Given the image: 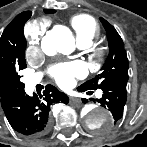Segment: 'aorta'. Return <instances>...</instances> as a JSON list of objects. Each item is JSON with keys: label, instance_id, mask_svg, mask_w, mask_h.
Here are the masks:
<instances>
[{"label": "aorta", "instance_id": "1", "mask_svg": "<svg viewBox=\"0 0 147 147\" xmlns=\"http://www.w3.org/2000/svg\"><path fill=\"white\" fill-rule=\"evenodd\" d=\"M41 48L48 56H54L58 52L70 54L75 49L74 38L67 28L57 27L43 37ZM81 115L86 125L93 130H105L113 123L111 113L103 107L85 105Z\"/></svg>", "mask_w": 147, "mask_h": 147}]
</instances>
